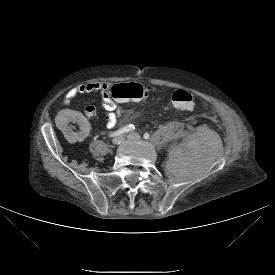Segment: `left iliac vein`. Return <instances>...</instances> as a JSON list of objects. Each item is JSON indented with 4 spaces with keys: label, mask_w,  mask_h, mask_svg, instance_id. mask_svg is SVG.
Wrapping results in <instances>:
<instances>
[{
    "label": "left iliac vein",
    "mask_w": 275,
    "mask_h": 275,
    "mask_svg": "<svg viewBox=\"0 0 275 275\" xmlns=\"http://www.w3.org/2000/svg\"><path fill=\"white\" fill-rule=\"evenodd\" d=\"M127 138L130 140H140L141 139L140 135L137 133H130L129 135H127Z\"/></svg>",
    "instance_id": "4c4485c4"
}]
</instances>
